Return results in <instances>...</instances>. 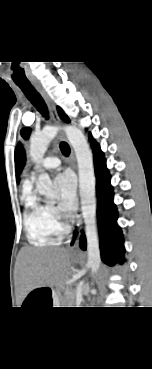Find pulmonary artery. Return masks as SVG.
<instances>
[{
  "mask_svg": "<svg viewBox=\"0 0 152 369\" xmlns=\"http://www.w3.org/2000/svg\"><path fill=\"white\" fill-rule=\"evenodd\" d=\"M60 165V160L55 155H48L41 162V167L45 170L56 169Z\"/></svg>",
  "mask_w": 152,
  "mask_h": 369,
  "instance_id": "pulmonary-artery-1",
  "label": "pulmonary artery"
}]
</instances>
